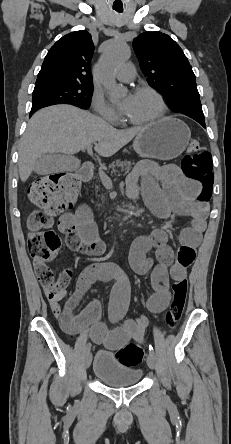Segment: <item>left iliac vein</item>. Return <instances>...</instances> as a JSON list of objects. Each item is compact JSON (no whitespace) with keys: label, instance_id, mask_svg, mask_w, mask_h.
Segmentation results:
<instances>
[{"label":"left iliac vein","instance_id":"obj_1","mask_svg":"<svg viewBox=\"0 0 231 444\" xmlns=\"http://www.w3.org/2000/svg\"><path fill=\"white\" fill-rule=\"evenodd\" d=\"M147 364L151 369H154L156 366L155 356L154 354L150 353L147 355Z\"/></svg>","mask_w":231,"mask_h":444}]
</instances>
